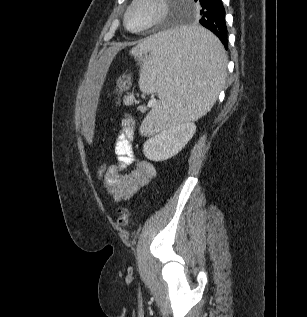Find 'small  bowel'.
Instances as JSON below:
<instances>
[{
    "label": "small bowel",
    "mask_w": 307,
    "mask_h": 317,
    "mask_svg": "<svg viewBox=\"0 0 307 317\" xmlns=\"http://www.w3.org/2000/svg\"><path fill=\"white\" fill-rule=\"evenodd\" d=\"M121 125L122 130L118 134L114 146L117 163L108 166L103 177V186L115 202L130 199L156 175L153 164L137 159L133 152L134 121L127 117ZM132 165L133 168L126 171Z\"/></svg>",
    "instance_id": "c3829d8e"
}]
</instances>
